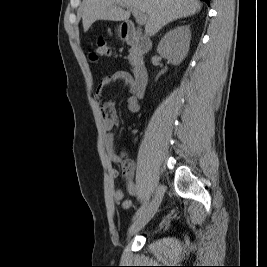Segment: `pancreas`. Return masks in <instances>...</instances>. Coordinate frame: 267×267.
I'll list each match as a JSON object with an SVG mask.
<instances>
[{
    "label": "pancreas",
    "mask_w": 267,
    "mask_h": 267,
    "mask_svg": "<svg viewBox=\"0 0 267 267\" xmlns=\"http://www.w3.org/2000/svg\"><path fill=\"white\" fill-rule=\"evenodd\" d=\"M141 51L137 47H132L129 50V62L132 66H135L141 60Z\"/></svg>",
    "instance_id": "1"
}]
</instances>
